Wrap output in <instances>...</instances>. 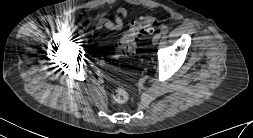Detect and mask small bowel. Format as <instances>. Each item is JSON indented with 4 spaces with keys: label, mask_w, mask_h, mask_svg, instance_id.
Instances as JSON below:
<instances>
[{
    "label": "small bowel",
    "mask_w": 253,
    "mask_h": 138,
    "mask_svg": "<svg viewBox=\"0 0 253 138\" xmlns=\"http://www.w3.org/2000/svg\"><path fill=\"white\" fill-rule=\"evenodd\" d=\"M106 13H101L96 16H90L87 18L88 21H96L95 29L99 30L103 26L110 30H119L124 24V20L127 17V10L121 8L118 10L117 16L114 21L106 20Z\"/></svg>",
    "instance_id": "c3829d8e"
}]
</instances>
